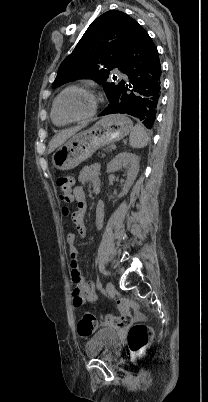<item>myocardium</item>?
Instances as JSON below:
<instances>
[{
    "label": "myocardium",
    "instance_id": "1",
    "mask_svg": "<svg viewBox=\"0 0 208 402\" xmlns=\"http://www.w3.org/2000/svg\"><path fill=\"white\" fill-rule=\"evenodd\" d=\"M74 89L81 90V91H84V92H88V93L93 94L94 97H95V101H94V105H93L92 109L90 110V112H88L87 114H85V115H83V116L77 117V118H70V117H67L66 115H64V114L60 111L59 106H58V102H59L60 97H61L64 93L68 92L69 90H74ZM102 101H103L102 96H101L95 89L89 88V87H85V86H80V85H70V86H67L66 88H64V89L56 96V98H55V100H54V103H53V106H54V108H55L56 113L58 114V116H59L63 121H65V122H67V123H73V122L85 121V120L91 118L92 116H94V115L96 114V112H97V110H98L100 104L102 103Z\"/></svg>",
    "mask_w": 208,
    "mask_h": 402
}]
</instances>
